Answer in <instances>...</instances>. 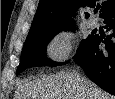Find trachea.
<instances>
[{
	"label": "trachea",
	"instance_id": "trachea-1",
	"mask_svg": "<svg viewBox=\"0 0 115 99\" xmlns=\"http://www.w3.org/2000/svg\"><path fill=\"white\" fill-rule=\"evenodd\" d=\"M98 11V8L97 9H95V12H97Z\"/></svg>",
	"mask_w": 115,
	"mask_h": 99
}]
</instances>
